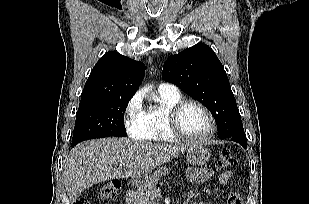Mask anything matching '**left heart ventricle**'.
I'll return each instance as SVG.
<instances>
[{
  "instance_id": "b2bd125f",
  "label": "left heart ventricle",
  "mask_w": 309,
  "mask_h": 204,
  "mask_svg": "<svg viewBox=\"0 0 309 204\" xmlns=\"http://www.w3.org/2000/svg\"><path fill=\"white\" fill-rule=\"evenodd\" d=\"M180 125L192 137H204L210 130L206 114L196 105L186 106L180 115Z\"/></svg>"
}]
</instances>
